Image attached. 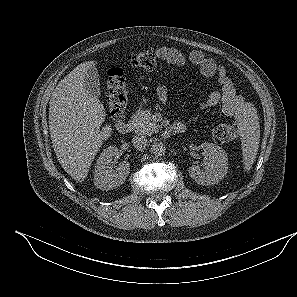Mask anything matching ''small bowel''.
<instances>
[{"label":"small bowel","instance_id":"obj_1","mask_svg":"<svg viewBox=\"0 0 297 297\" xmlns=\"http://www.w3.org/2000/svg\"><path fill=\"white\" fill-rule=\"evenodd\" d=\"M158 57L174 66H186L192 64L206 78L216 77L220 85L219 91L212 92L208 98L201 103L200 108L206 110L218 104L224 115L238 118L244 108V99L237 94L234 85L227 74L224 66L216 63L213 59L205 56L201 51L184 53L172 46H160L156 49ZM157 96L162 103L168 101V89L165 84L157 87Z\"/></svg>","mask_w":297,"mask_h":297}]
</instances>
